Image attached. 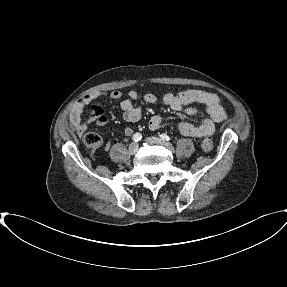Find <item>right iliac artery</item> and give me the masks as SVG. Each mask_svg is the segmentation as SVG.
<instances>
[{
    "instance_id": "obj_1",
    "label": "right iliac artery",
    "mask_w": 287,
    "mask_h": 287,
    "mask_svg": "<svg viewBox=\"0 0 287 287\" xmlns=\"http://www.w3.org/2000/svg\"><path fill=\"white\" fill-rule=\"evenodd\" d=\"M142 138V135L140 133H135L132 137L133 141L138 142Z\"/></svg>"
}]
</instances>
